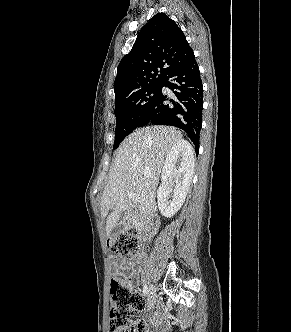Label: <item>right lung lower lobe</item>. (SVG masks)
<instances>
[{
	"instance_id": "1",
	"label": "right lung lower lobe",
	"mask_w": 291,
	"mask_h": 332,
	"mask_svg": "<svg viewBox=\"0 0 291 332\" xmlns=\"http://www.w3.org/2000/svg\"><path fill=\"white\" fill-rule=\"evenodd\" d=\"M162 87L172 90L174 99L162 92ZM202 110L203 86L198 65L193 58L168 74L162 82L158 97L146 111L138 127L148 123L178 127L188 134L198 152Z\"/></svg>"
}]
</instances>
